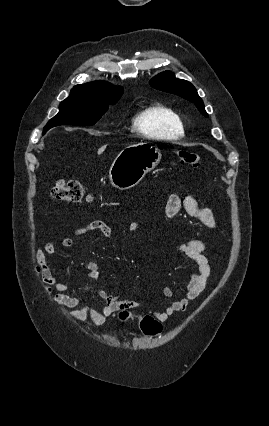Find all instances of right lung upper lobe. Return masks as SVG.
Listing matches in <instances>:
<instances>
[{"label":"right lung upper lobe","mask_w":269,"mask_h":426,"mask_svg":"<svg viewBox=\"0 0 269 426\" xmlns=\"http://www.w3.org/2000/svg\"><path fill=\"white\" fill-rule=\"evenodd\" d=\"M123 94L121 87H113L108 82L95 81L76 85L71 90V95H83L88 97L118 98Z\"/></svg>","instance_id":"1"}]
</instances>
